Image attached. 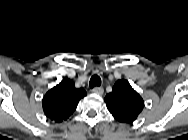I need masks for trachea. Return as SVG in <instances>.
I'll use <instances>...</instances> for the list:
<instances>
[{
	"instance_id": "trachea-1",
	"label": "trachea",
	"mask_w": 188,
	"mask_h": 140,
	"mask_svg": "<svg viewBox=\"0 0 188 140\" xmlns=\"http://www.w3.org/2000/svg\"><path fill=\"white\" fill-rule=\"evenodd\" d=\"M100 85H101V78L97 75L92 76L89 82L90 88H93L96 86L98 87Z\"/></svg>"
}]
</instances>
